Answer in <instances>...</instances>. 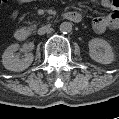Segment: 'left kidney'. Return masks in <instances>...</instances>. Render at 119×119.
Masks as SVG:
<instances>
[{"mask_svg":"<svg viewBox=\"0 0 119 119\" xmlns=\"http://www.w3.org/2000/svg\"><path fill=\"white\" fill-rule=\"evenodd\" d=\"M89 56L101 64H110L114 61V54L110 44L101 38H94L89 41Z\"/></svg>","mask_w":119,"mask_h":119,"instance_id":"obj_1","label":"left kidney"}]
</instances>
